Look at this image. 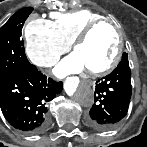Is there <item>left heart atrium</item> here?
<instances>
[{
	"label": "left heart atrium",
	"instance_id": "obj_1",
	"mask_svg": "<svg viewBox=\"0 0 147 147\" xmlns=\"http://www.w3.org/2000/svg\"><path fill=\"white\" fill-rule=\"evenodd\" d=\"M85 69L84 64L76 53L61 60L54 69V74L60 78L70 74L80 73Z\"/></svg>",
	"mask_w": 147,
	"mask_h": 147
}]
</instances>
